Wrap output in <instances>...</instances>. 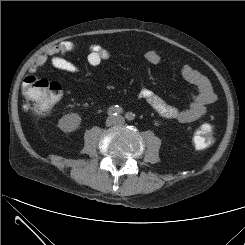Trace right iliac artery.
<instances>
[{
	"mask_svg": "<svg viewBox=\"0 0 245 245\" xmlns=\"http://www.w3.org/2000/svg\"><path fill=\"white\" fill-rule=\"evenodd\" d=\"M121 113H123V109L119 107L118 105L110 107L107 111V114L110 116H116Z\"/></svg>",
	"mask_w": 245,
	"mask_h": 245,
	"instance_id": "obj_1",
	"label": "right iliac artery"
}]
</instances>
